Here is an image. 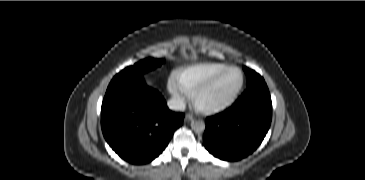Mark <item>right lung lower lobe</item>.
Here are the masks:
<instances>
[{
  "label": "right lung lower lobe",
  "mask_w": 365,
  "mask_h": 180,
  "mask_svg": "<svg viewBox=\"0 0 365 180\" xmlns=\"http://www.w3.org/2000/svg\"><path fill=\"white\" fill-rule=\"evenodd\" d=\"M184 114L172 112L143 77L109 85L101 108L103 135L111 148L132 164L155 159L168 145Z\"/></svg>",
  "instance_id": "obj_1"
}]
</instances>
